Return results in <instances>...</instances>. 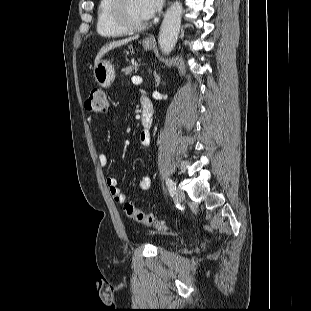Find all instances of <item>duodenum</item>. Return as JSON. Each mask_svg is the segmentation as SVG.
<instances>
[{"label": "duodenum", "mask_w": 311, "mask_h": 311, "mask_svg": "<svg viewBox=\"0 0 311 311\" xmlns=\"http://www.w3.org/2000/svg\"><path fill=\"white\" fill-rule=\"evenodd\" d=\"M142 104V116L141 122L145 129H150L152 125V103L148 97L141 99Z\"/></svg>", "instance_id": "410a0bca"}]
</instances>
